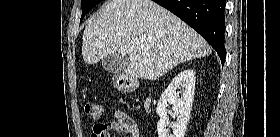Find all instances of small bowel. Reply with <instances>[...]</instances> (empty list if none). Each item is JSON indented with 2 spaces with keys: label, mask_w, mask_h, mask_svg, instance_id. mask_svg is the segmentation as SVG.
<instances>
[{
  "label": "small bowel",
  "mask_w": 280,
  "mask_h": 137,
  "mask_svg": "<svg viewBox=\"0 0 280 137\" xmlns=\"http://www.w3.org/2000/svg\"><path fill=\"white\" fill-rule=\"evenodd\" d=\"M129 122V118L124 113L118 111L116 113V120L94 124L91 137H111L115 131L122 132L127 137H140L135 126Z\"/></svg>",
  "instance_id": "small-bowel-1"
}]
</instances>
